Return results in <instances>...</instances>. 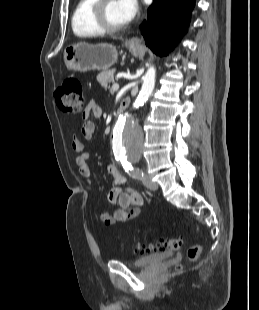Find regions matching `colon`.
Masks as SVG:
<instances>
[{
  "label": "colon",
  "instance_id": "obj_1",
  "mask_svg": "<svg viewBox=\"0 0 259 310\" xmlns=\"http://www.w3.org/2000/svg\"><path fill=\"white\" fill-rule=\"evenodd\" d=\"M58 107L69 113H79L84 110V96L81 82L76 78H67L55 93ZM184 245L182 238L162 240L155 243L139 245L138 251L141 254L160 252L166 250H177ZM201 252V246L193 245L187 251L189 261H196Z\"/></svg>",
  "mask_w": 259,
  "mask_h": 310
}]
</instances>
